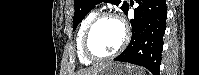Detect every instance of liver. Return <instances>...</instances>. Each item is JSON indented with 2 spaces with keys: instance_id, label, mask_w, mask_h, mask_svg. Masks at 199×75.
Segmentation results:
<instances>
[{
  "instance_id": "6515ba94",
  "label": "liver",
  "mask_w": 199,
  "mask_h": 75,
  "mask_svg": "<svg viewBox=\"0 0 199 75\" xmlns=\"http://www.w3.org/2000/svg\"><path fill=\"white\" fill-rule=\"evenodd\" d=\"M104 67H105V65H103V66H97V67L90 68V69H87V70H81V71L77 72V75H96V74H98Z\"/></svg>"
}]
</instances>
